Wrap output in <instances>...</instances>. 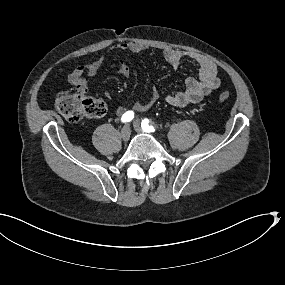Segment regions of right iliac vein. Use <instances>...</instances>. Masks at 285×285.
Returning a JSON list of instances; mask_svg holds the SVG:
<instances>
[{
    "instance_id": "right-iliac-vein-1",
    "label": "right iliac vein",
    "mask_w": 285,
    "mask_h": 285,
    "mask_svg": "<svg viewBox=\"0 0 285 285\" xmlns=\"http://www.w3.org/2000/svg\"><path fill=\"white\" fill-rule=\"evenodd\" d=\"M131 136V129L128 125L124 126L121 130V138L124 141H128Z\"/></svg>"
}]
</instances>
